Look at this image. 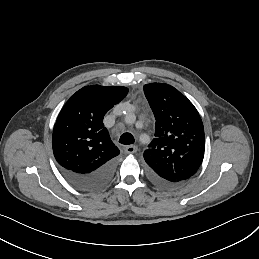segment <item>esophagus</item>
<instances>
[{"label": "esophagus", "mask_w": 259, "mask_h": 259, "mask_svg": "<svg viewBox=\"0 0 259 259\" xmlns=\"http://www.w3.org/2000/svg\"><path fill=\"white\" fill-rule=\"evenodd\" d=\"M138 150L137 146L136 145H129V146H126L124 148V151L127 153V154H134L136 153Z\"/></svg>", "instance_id": "obj_1"}]
</instances>
